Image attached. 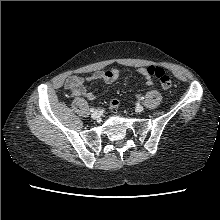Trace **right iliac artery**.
Returning <instances> with one entry per match:
<instances>
[{"mask_svg":"<svg viewBox=\"0 0 220 220\" xmlns=\"http://www.w3.org/2000/svg\"><path fill=\"white\" fill-rule=\"evenodd\" d=\"M94 111H95V109H94V108H91V109H90V112H94Z\"/></svg>","mask_w":220,"mask_h":220,"instance_id":"obj_1","label":"right iliac artery"}]
</instances>
